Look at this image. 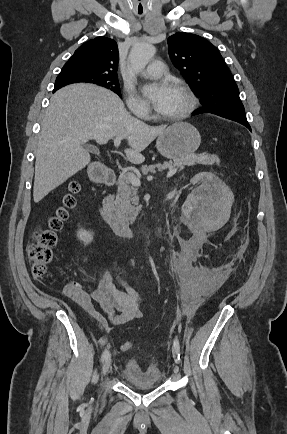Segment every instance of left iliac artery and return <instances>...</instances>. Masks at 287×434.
Returning a JSON list of instances; mask_svg holds the SVG:
<instances>
[{
    "instance_id": "1",
    "label": "left iliac artery",
    "mask_w": 287,
    "mask_h": 434,
    "mask_svg": "<svg viewBox=\"0 0 287 434\" xmlns=\"http://www.w3.org/2000/svg\"><path fill=\"white\" fill-rule=\"evenodd\" d=\"M173 345H174V347L176 348V350H177V355H178V359H180V344H179V340H178V338H175L174 339V343H173Z\"/></svg>"
}]
</instances>
